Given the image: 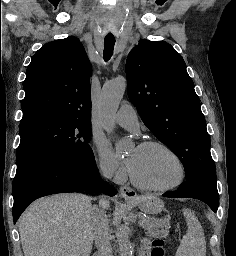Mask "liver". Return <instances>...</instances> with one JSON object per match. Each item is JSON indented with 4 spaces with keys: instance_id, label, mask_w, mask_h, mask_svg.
Returning <instances> with one entry per match:
<instances>
[{
    "instance_id": "1",
    "label": "liver",
    "mask_w": 236,
    "mask_h": 256,
    "mask_svg": "<svg viewBox=\"0 0 236 256\" xmlns=\"http://www.w3.org/2000/svg\"><path fill=\"white\" fill-rule=\"evenodd\" d=\"M107 210L109 202L101 204ZM105 212L84 194H55L33 202L19 220L24 256H90L94 230Z\"/></svg>"
}]
</instances>
